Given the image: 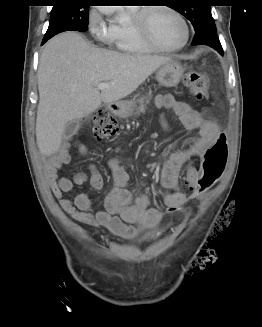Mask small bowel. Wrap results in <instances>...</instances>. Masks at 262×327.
<instances>
[{
	"instance_id": "1",
	"label": "small bowel",
	"mask_w": 262,
	"mask_h": 327,
	"mask_svg": "<svg viewBox=\"0 0 262 327\" xmlns=\"http://www.w3.org/2000/svg\"><path fill=\"white\" fill-rule=\"evenodd\" d=\"M155 105L163 109L173 110L179 119V125L185 130H195L198 137L190 142V146L184 150L170 155L162 167L160 180L167 194L163 199L165 206H184L191 198L188 194L179 190V176L182 166L193 158L201 161L204 153H207L210 143L216 141L217 135H223L218 126L205 120L199 112L184 101L177 100L171 95H160L155 99ZM161 125L168 128V122L164 115L160 117ZM72 145L66 140L56 155L50 160L45 168L46 178L50 183L53 195L58 200L62 209L73 219L88 225H98L122 238H134L140 229L156 227L161 221V211L149 205L147 195L135 197L128 189L129 174L116 159L108 162L109 169L114 180V187L105 200V209L93 214L91 212L92 198L83 192H79L75 198L65 197V193L73 191L75 186H82L89 181L90 185L97 190L103 188L104 180L100 169L89 165V175L78 173L73 179L60 177L59 169L69 161V149ZM81 154L87 156L88 149L79 145ZM194 160L187 163V170L183 171L182 183L187 190H194L197 186V164Z\"/></svg>"
}]
</instances>
